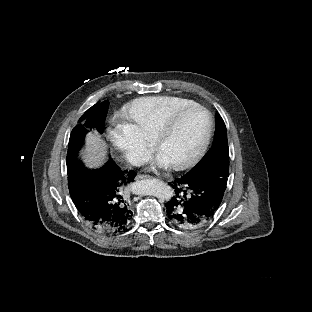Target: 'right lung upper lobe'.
<instances>
[{
  "label": "right lung upper lobe",
  "instance_id": "obj_1",
  "mask_svg": "<svg viewBox=\"0 0 312 312\" xmlns=\"http://www.w3.org/2000/svg\"><path fill=\"white\" fill-rule=\"evenodd\" d=\"M79 166V164L76 166V167H78ZM102 234H104V233H102ZM107 235V234H106Z\"/></svg>",
  "mask_w": 312,
  "mask_h": 312
}]
</instances>
